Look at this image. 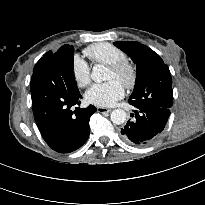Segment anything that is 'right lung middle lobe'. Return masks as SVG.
<instances>
[{
    "instance_id": "obj_1",
    "label": "right lung middle lobe",
    "mask_w": 205,
    "mask_h": 205,
    "mask_svg": "<svg viewBox=\"0 0 205 205\" xmlns=\"http://www.w3.org/2000/svg\"><path fill=\"white\" fill-rule=\"evenodd\" d=\"M71 48H73V47H71ZM49 52H50V56L52 57V54H53V53H52L51 51H49ZM43 56H44V55H43ZM51 57H50V58H51ZM50 58H49V60H50ZM49 60H45V59H43V57H42V58L36 63L33 72L36 71L37 69H39L40 67H42L43 65H45L46 63H48Z\"/></svg>"
}]
</instances>
